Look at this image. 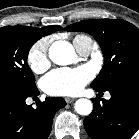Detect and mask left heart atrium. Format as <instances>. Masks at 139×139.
Instances as JSON below:
<instances>
[{"mask_svg": "<svg viewBox=\"0 0 139 139\" xmlns=\"http://www.w3.org/2000/svg\"><path fill=\"white\" fill-rule=\"evenodd\" d=\"M92 77L93 73L87 66L58 68L48 73L42 79V87L50 95H76Z\"/></svg>", "mask_w": 139, "mask_h": 139, "instance_id": "39dd6f15", "label": "left heart atrium"}]
</instances>
